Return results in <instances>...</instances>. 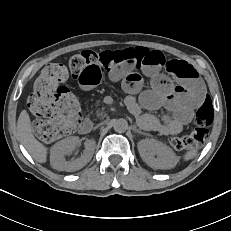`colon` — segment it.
<instances>
[{
  "label": "colon",
  "mask_w": 231,
  "mask_h": 231,
  "mask_svg": "<svg viewBox=\"0 0 231 231\" xmlns=\"http://www.w3.org/2000/svg\"><path fill=\"white\" fill-rule=\"evenodd\" d=\"M156 57L148 49L136 47L115 51H83L70 57L68 67L60 63L46 65L34 84L28 99L31 112L40 119L34 125L37 138L45 143L71 134L81 123V113L75 97L62 85L71 74L78 78L89 66L104 70L117 68L122 64L141 66ZM213 110L209 102L202 104L195 114L194 130L184 136L169 139L176 150L191 149L204 144L212 123Z\"/></svg>",
  "instance_id": "obj_1"
}]
</instances>
